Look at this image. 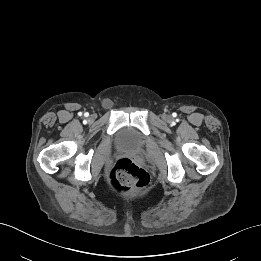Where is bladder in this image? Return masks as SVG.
Returning a JSON list of instances; mask_svg holds the SVG:
<instances>
[{
  "mask_svg": "<svg viewBox=\"0 0 261 261\" xmlns=\"http://www.w3.org/2000/svg\"><path fill=\"white\" fill-rule=\"evenodd\" d=\"M116 144L119 148L124 150L136 151L143 145V139L133 127H123L116 134Z\"/></svg>",
  "mask_w": 261,
  "mask_h": 261,
  "instance_id": "31cf9c89",
  "label": "bladder"
}]
</instances>
